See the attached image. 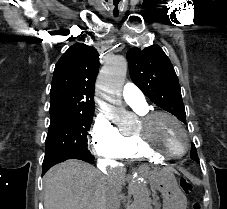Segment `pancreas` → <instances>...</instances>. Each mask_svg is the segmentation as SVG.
<instances>
[{
  "label": "pancreas",
  "mask_w": 227,
  "mask_h": 209,
  "mask_svg": "<svg viewBox=\"0 0 227 209\" xmlns=\"http://www.w3.org/2000/svg\"><path fill=\"white\" fill-rule=\"evenodd\" d=\"M152 207H153L154 209H159L160 204H159V203H153V204H152Z\"/></svg>",
  "instance_id": "cf45deb5"
}]
</instances>
